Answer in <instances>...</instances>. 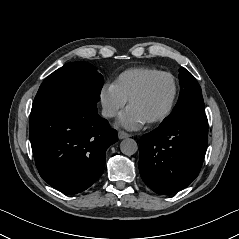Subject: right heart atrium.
Listing matches in <instances>:
<instances>
[{
    "mask_svg": "<svg viewBox=\"0 0 239 239\" xmlns=\"http://www.w3.org/2000/svg\"><path fill=\"white\" fill-rule=\"evenodd\" d=\"M100 103L103 114L107 118L115 117L126 103L114 84L106 83L100 91Z\"/></svg>",
    "mask_w": 239,
    "mask_h": 239,
    "instance_id": "1",
    "label": "right heart atrium"
}]
</instances>
